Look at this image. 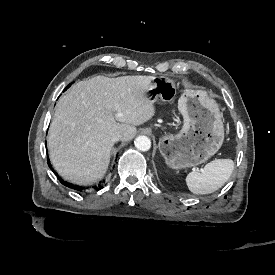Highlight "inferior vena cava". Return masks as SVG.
I'll use <instances>...</instances> for the list:
<instances>
[{
  "label": "inferior vena cava",
  "instance_id": "1",
  "mask_svg": "<svg viewBox=\"0 0 275 275\" xmlns=\"http://www.w3.org/2000/svg\"><path fill=\"white\" fill-rule=\"evenodd\" d=\"M122 137H123V134L121 132L116 131L112 134L111 140L113 142H118L119 140H121Z\"/></svg>",
  "mask_w": 275,
  "mask_h": 275
}]
</instances>
